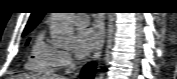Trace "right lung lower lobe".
<instances>
[{
	"label": "right lung lower lobe",
	"mask_w": 177,
	"mask_h": 79,
	"mask_svg": "<svg viewBox=\"0 0 177 79\" xmlns=\"http://www.w3.org/2000/svg\"><path fill=\"white\" fill-rule=\"evenodd\" d=\"M95 66L94 63L87 64L81 74L82 79H92L94 75Z\"/></svg>",
	"instance_id": "98d812e1"
}]
</instances>
